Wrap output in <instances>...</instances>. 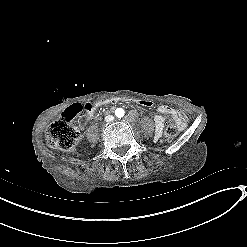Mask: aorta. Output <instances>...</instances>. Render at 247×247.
<instances>
[{
  "label": "aorta",
  "instance_id": "obj_1",
  "mask_svg": "<svg viewBox=\"0 0 247 247\" xmlns=\"http://www.w3.org/2000/svg\"><path fill=\"white\" fill-rule=\"evenodd\" d=\"M125 115L124 109L122 108H117L115 110V116L118 118H122Z\"/></svg>",
  "mask_w": 247,
  "mask_h": 247
}]
</instances>
